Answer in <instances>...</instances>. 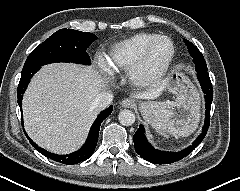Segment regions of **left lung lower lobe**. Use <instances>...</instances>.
<instances>
[{
	"instance_id": "1",
	"label": "left lung lower lobe",
	"mask_w": 240,
	"mask_h": 191,
	"mask_svg": "<svg viewBox=\"0 0 240 191\" xmlns=\"http://www.w3.org/2000/svg\"><path fill=\"white\" fill-rule=\"evenodd\" d=\"M197 77L202 87V90L205 94V124L203 126L201 134L198 138L193 142L192 145L187 147L186 149L180 152H164L157 149H154L150 143L147 141L146 136L144 134L145 130L142 125L139 126V129L136 131L134 135V147L135 151L138 155L144 158L147 161H150L155 164H169L175 161H179L180 159L189 155L203 140L206 136V133L210 124V109L211 103L213 99V88L211 84V80L209 78V74L207 70L198 69Z\"/></svg>"
}]
</instances>
